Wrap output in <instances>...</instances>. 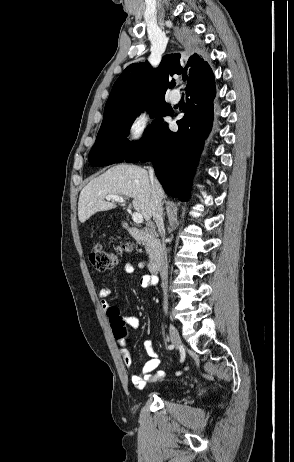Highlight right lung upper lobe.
<instances>
[{"label": "right lung upper lobe", "mask_w": 294, "mask_h": 462, "mask_svg": "<svg viewBox=\"0 0 294 462\" xmlns=\"http://www.w3.org/2000/svg\"><path fill=\"white\" fill-rule=\"evenodd\" d=\"M179 60L180 54L164 56L157 70L148 62L129 65L114 83L105 106L104 118L122 113L149 99H164L167 88L175 85L174 80L170 81L175 73H189L186 89L213 73L209 64L196 53L189 58L184 68Z\"/></svg>", "instance_id": "cb5924a9"}]
</instances>
